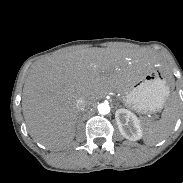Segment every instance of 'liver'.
<instances>
[{
	"mask_svg": "<svg viewBox=\"0 0 183 183\" xmlns=\"http://www.w3.org/2000/svg\"><path fill=\"white\" fill-rule=\"evenodd\" d=\"M155 60L142 51L82 48L35 62L26 77L22 110L31 137L49 149H62L75 136L79 111L103 95L123 92L126 85Z\"/></svg>",
	"mask_w": 183,
	"mask_h": 183,
	"instance_id": "obj_1",
	"label": "liver"
}]
</instances>
